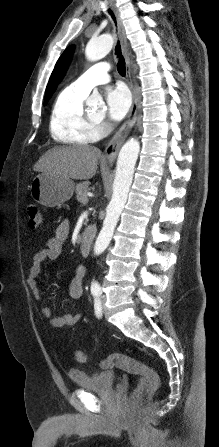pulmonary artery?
<instances>
[{
	"instance_id": "pulmonary-artery-1",
	"label": "pulmonary artery",
	"mask_w": 219,
	"mask_h": 447,
	"mask_svg": "<svg viewBox=\"0 0 219 447\" xmlns=\"http://www.w3.org/2000/svg\"><path fill=\"white\" fill-rule=\"evenodd\" d=\"M109 69L110 66L107 63H98L72 82L69 87L87 96L94 86L107 83L110 80Z\"/></svg>"
}]
</instances>
